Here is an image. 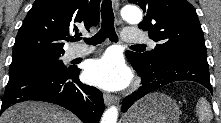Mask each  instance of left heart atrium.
<instances>
[{
	"label": "left heart atrium",
	"instance_id": "1",
	"mask_svg": "<svg viewBox=\"0 0 221 123\" xmlns=\"http://www.w3.org/2000/svg\"><path fill=\"white\" fill-rule=\"evenodd\" d=\"M84 77L89 84L114 90L129 82L130 72L120 56L109 53L90 61L85 68Z\"/></svg>",
	"mask_w": 221,
	"mask_h": 123
}]
</instances>
